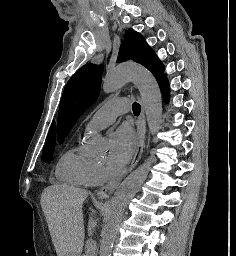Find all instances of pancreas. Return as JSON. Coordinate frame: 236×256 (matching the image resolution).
Masks as SVG:
<instances>
[{"label":"pancreas","mask_w":236,"mask_h":256,"mask_svg":"<svg viewBox=\"0 0 236 256\" xmlns=\"http://www.w3.org/2000/svg\"><path fill=\"white\" fill-rule=\"evenodd\" d=\"M93 222H95V220H89V226H93ZM91 234H97V229H95V227H92V229H90V236ZM84 246L87 247V249L89 250H94L96 243L94 242L93 238H86Z\"/></svg>","instance_id":"cf45deb5"}]
</instances>
